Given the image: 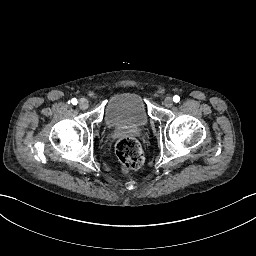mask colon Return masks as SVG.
<instances>
[{"label": "colon", "mask_w": 256, "mask_h": 256, "mask_svg": "<svg viewBox=\"0 0 256 256\" xmlns=\"http://www.w3.org/2000/svg\"><path fill=\"white\" fill-rule=\"evenodd\" d=\"M116 154L120 162L119 170L123 173L137 170L143 164V151L134 138H121L116 145Z\"/></svg>", "instance_id": "colon-1"}]
</instances>
